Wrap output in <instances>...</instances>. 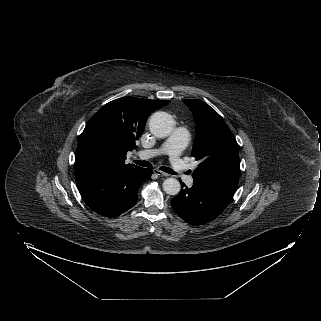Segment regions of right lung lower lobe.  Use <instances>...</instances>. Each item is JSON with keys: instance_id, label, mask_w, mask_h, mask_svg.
Returning a JSON list of instances; mask_svg holds the SVG:
<instances>
[{"instance_id": "98d812e1", "label": "right lung lower lobe", "mask_w": 321, "mask_h": 321, "mask_svg": "<svg viewBox=\"0 0 321 321\" xmlns=\"http://www.w3.org/2000/svg\"><path fill=\"white\" fill-rule=\"evenodd\" d=\"M151 169L104 171L76 181L85 203L96 213L116 217L137 202L139 187L150 178Z\"/></svg>"}]
</instances>
